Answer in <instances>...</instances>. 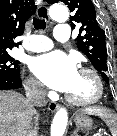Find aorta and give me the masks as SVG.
I'll return each instance as SVG.
<instances>
[{
    "mask_svg": "<svg viewBox=\"0 0 117 136\" xmlns=\"http://www.w3.org/2000/svg\"><path fill=\"white\" fill-rule=\"evenodd\" d=\"M50 17L57 22H65L69 19V12L66 6L55 4L50 8ZM68 121V113L66 109L60 108L54 118L51 125L50 136H63Z\"/></svg>",
    "mask_w": 117,
    "mask_h": 136,
    "instance_id": "762f6f07",
    "label": "aorta"
}]
</instances>
